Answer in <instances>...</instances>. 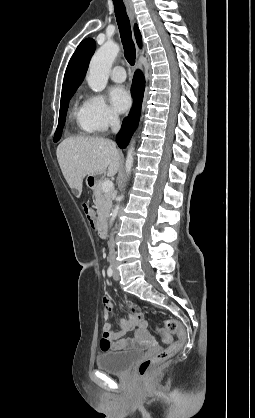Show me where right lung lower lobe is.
I'll return each instance as SVG.
<instances>
[{
	"instance_id": "1",
	"label": "right lung lower lobe",
	"mask_w": 255,
	"mask_h": 418,
	"mask_svg": "<svg viewBox=\"0 0 255 418\" xmlns=\"http://www.w3.org/2000/svg\"><path fill=\"white\" fill-rule=\"evenodd\" d=\"M144 88H145L144 76L140 70H137L135 72L133 83H132V94L134 98V106L129 116L124 119L121 130L116 137L117 144L120 148H125L127 146L133 132L135 131L138 125Z\"/></svg>"
}]
</instances>
